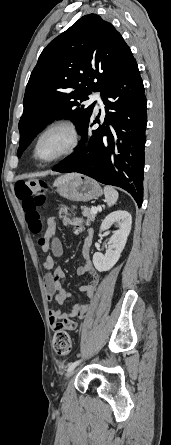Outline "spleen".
I'll use <instances>...</instances> for the list:
<instances>
[{"label": "spleen", "instance_id": "spleen-1", "mask_svg": "<svg viewBox=\"0 0 171 445\" xmlns=\"http://www.w3.org/2000/svg\"><path fill=\"white\" fill-rule=\"evenodd\" d=\"M104 196H105V202L109 207L114 205L119 197L118 192L111 186H105L104 187Z\"/></svg>", "mask_w": 171, "mask_h": 445}]
</instances>
